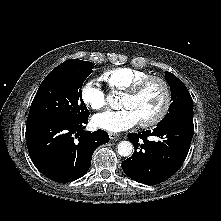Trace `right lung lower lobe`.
<instances>
[{
  "label": "right lung lower lobe",
  "mask_w": 221,
  "mask_h": 221,
  "mask_svg": "<svg viewBox=\"0 0 221 221\" xmlns=\"http://www.w3.org/2000/svg\"><path fill=\"white\" fill-rule=\"evenodd\" d=\"M88 117L79 121L56 119L27 123L26 143L36 168L56 182L84 176L94 150L109 141L104 130L84 131Z\"/></svg>",
  "instance_id": "right-lung-lower-lobe-1"
}]
</instances>
